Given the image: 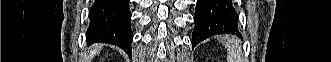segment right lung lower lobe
Returning a JSON list of instances; mask_svg holds the SVG:
<instances>
[{
    "label": "right lung lower lobe",
    "instance_id": "obj_1",
    "mask_svg": "<svg viewBox=\"0 0 331 62\" xmlns=\"http://www.w3.org/2000/svg\"><path fill=\"white\" fill-rule=\"evenodd\" d=\"M89 18L88 45L96 42L113 44L131 54L133 33L129 0H95Z\"/></svg>",
    "mask_w": 331,
    "mask_h": 62
}]
</instances>
